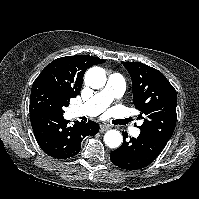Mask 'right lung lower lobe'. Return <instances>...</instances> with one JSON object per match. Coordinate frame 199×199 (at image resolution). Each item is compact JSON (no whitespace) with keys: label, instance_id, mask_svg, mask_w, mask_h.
I'll return each instance as SVG.
<instances>
[{"label":"right lung lower lobe","instance_id":"1","mask_svg":"<svg viewBox=\"0 0 199 199\" xmlns=\"http://www.w3.org/2000/svg\"><path fill=\"white\" fill-rule=\"evenodd\" d=\"M35 138L41 149L49 156L67 159L79 153L82 140L95 135L99 125L94 121L69 126L63 116L48 112L30 114Z\"/></svg>","mask_w":199,"mask_h":199}]
</instances>
